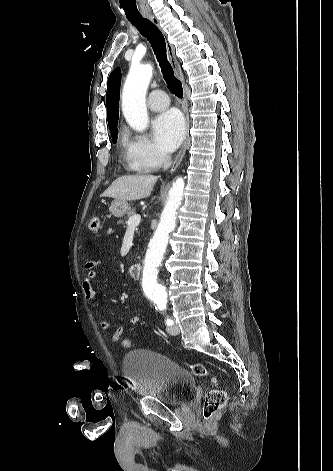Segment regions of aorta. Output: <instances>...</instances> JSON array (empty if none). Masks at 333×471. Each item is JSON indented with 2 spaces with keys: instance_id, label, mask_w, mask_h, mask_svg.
<instances>
[{
  "instance_id": "1",
  "label": "aorta",
  "mask_w": 333,
  "mask_h": 471,
  "mask_svg": "<svg viewBox=\"0 0 333 471\" xmlns=\"http://www.w3.org/2000/svg\"><path fill=\"white\" fill-rule=\"evenodd\" d=\"M152 75L151 64L132 65L123 87L122 111L129 126L136 131H144L149 123L145 101ZM184 186V180L179 177L170 188L160 222L145 255L143 285L147 295L160 308L167 305V292L157 280L158 267L166 250L169 234L176 225V212L182 200Z\"/></svg>"
}]
</instances>
